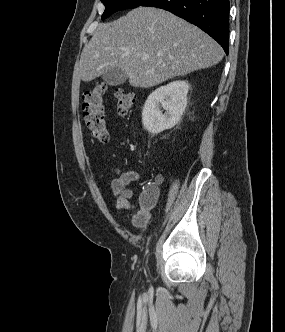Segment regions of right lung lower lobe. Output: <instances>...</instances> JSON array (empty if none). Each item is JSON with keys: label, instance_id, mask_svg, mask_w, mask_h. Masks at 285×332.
<instances>
[{"label": "right lung lower lobe", "instance_id": "right-lung-lower-lobe-1", "mask_svg": "<svg viewBox=\"0 0 285 332\" xmlns=\"http://www.w3.org/2000/svg\"><path fill=\"white\" fill-rule=\"evenodd\" d=\"M141 6L165 9L198 26L228 54L229 0H147Z\"/></svg>", "mask_w": 285, "mask_h": 332}]
</instances>
